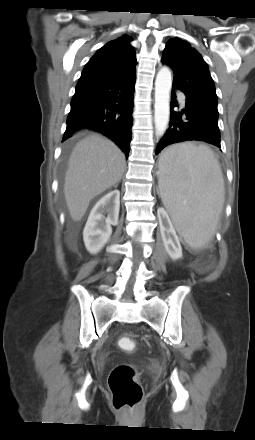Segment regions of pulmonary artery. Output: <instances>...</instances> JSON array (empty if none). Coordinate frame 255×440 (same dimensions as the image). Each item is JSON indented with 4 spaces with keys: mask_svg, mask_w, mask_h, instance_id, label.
<instances>
[{
    "mask_svg": "<svg viewBox=\"0 0 255 440\" xmlns=\"http://www.w3.org/2000/svg\"><path fill=\"white\" fill-rule=\"evenodd\" d=\"M179 97H180L181 104L184 105L185 104V97H184V95L183 94H179Z\"/></svg>",
    "mask_w": 255,
    "mask_h": 440,
    "instance_id": "e3ab8cb5",
    "label": "pulmonary artery"
}]
</instances>
